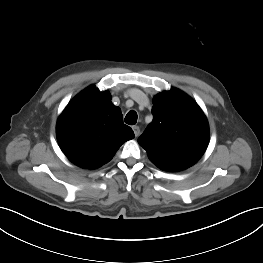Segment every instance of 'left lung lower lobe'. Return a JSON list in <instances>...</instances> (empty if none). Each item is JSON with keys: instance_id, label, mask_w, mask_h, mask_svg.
<instances>
[{"instance_id": "obj_1", "label": "left lung lower lobe", "mask_w": 263, "mask_h": 263, "mask_svg": "<svg viewBox=\"0 0 263 263\" xmlns=\"http://www.w3.org/2000/svg\"><path fill=\"white\" fill-rule=\"evenodd\" d=\"M158 166L159 168L163 169V170H166V171H180V170H183L185 168H182V167H178V166H170V165H166V166H161V165H156Z\"/></svg>"}]
</instances>
